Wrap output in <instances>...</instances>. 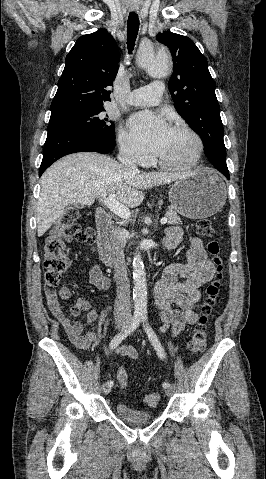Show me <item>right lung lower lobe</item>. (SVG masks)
I'll use <instances>...</instances> for the list:
<instances>
[{"instance_id":"98d812e1","label":"right lung lower lobe","mask_w":266,"mask_h":479,"mask_svg":"<svg viewBox=\"0 0 266 479\" xmlns=\"http://www.w3.org/2000/svg\"><path fill=\"white\" fill-rule=\"evenodd\" d=\"M115 147V140L93 133L62 127H48L47 139L43 149V159L39 176L59 158L75 152H99L106 154Z\"/></svg>"}]
</instances>
